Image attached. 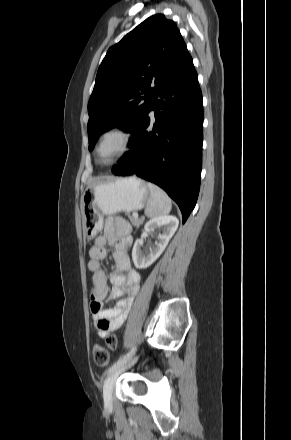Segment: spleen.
I'll use <instances>...</instances> for the list:
<instances>
[{"mask_svg": "<svg viewBox=\"0 0 291 440\" xmlns=\"http://www.w3.org/2000/svg\"><path fill=\"white\" fill-rule=\"evenodd\" d=\"M150 199L145 208V215L150 218L168 214L172 208L169 196L160 187L148 183Z\"/></svg>", "mask_w": 291, "mask_h": 440, "instance_id": "spleen-1", "label": "spleen"}]
</instances>
